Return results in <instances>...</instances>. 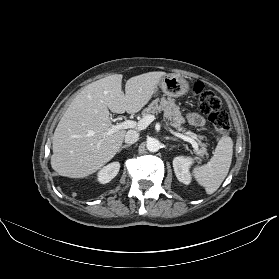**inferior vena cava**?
Returning a JSON list of instances; mask_svg holds the SVG:
<instances>
[{
    "instance_id": "602c4592",
    "label": "inferior vena cava",
    "mask_w": 279,
    "mask_h": 279,
    "mask_svg": "<svg viewBox=\"0 0 279 279\" xmlns=\"http://www.w3.org/2000/svg\"><path fill=\"white\" fill-rule=\"evenodd\" d=\"M139 133L135 130H129L125 135V143L134 144L139 140Z\"/></svg>"
}]
</instances>
